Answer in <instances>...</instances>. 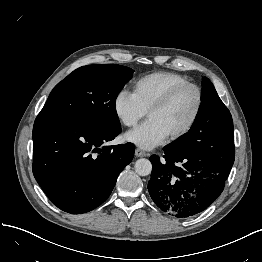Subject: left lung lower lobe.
Returning a JSON list of instances; mask_svg holds the SVG:
<instances>
[{
  "mask_svg": "<svg viewBox=\"0 0 262 262\" xmlns=\"http://www.w3.org/2000/svg\"><path fill=\"white\" fill-rule=\"evenodd\" d=\"M164 153L165 160L150 157L149 194L162 211L183 219L201 213L217 199L235 158L233 145L220 159L174 152L168 147Z\"/></svg>",
  "mask_w": 262,
  "mask_h": 262,
  "instance_id": "1",
  "label": "left lung lower lobe"
}]
</instances>
